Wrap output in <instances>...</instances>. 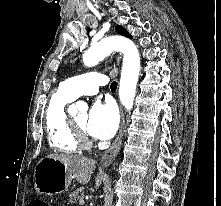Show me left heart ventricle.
<instances>
[{"instance_id": "1", "label": "left heart ventricle", "mask_w": 221, "mask_h": 206, "mask_svg": "<svg viewBox=\"0 0 221 206\" xmlns=\"http://www.w3.org/2000/svg\"><path fill=\"white\" fill-rule=\"evenodd\" d=\"M77 124L85 129L86 127V121H87V114L86 113H79L73 118Z\"/></svg>"}]
</instances>
